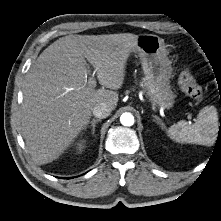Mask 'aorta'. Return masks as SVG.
I'll use <instances>...</instances> for the list:
<instances>
[{
  "instance_id": "obj_1",
  "label": "aorta",
  "mask_w": 221,
  "mask_h": 221,
  "mask_svg": "<svg viewBox=\"0 0 221 221\" xmlns=\"http://www.w3.org/2000/svg\"><path fill=\"white\" fill-rule=\"evenodd\" d=\"M120 122L124 126H132L134 124V116L131 113H123Z\"/></svg>"
}]
</instances>
